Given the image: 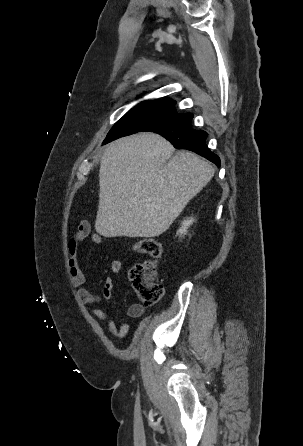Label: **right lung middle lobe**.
Returning <instances> with one entry per match:
<instances>
[{
	"label": "right lung middle lobe",
	"mask_w": 303,
	"mask_h": 446,
	"mask_svg": "<svg viewBox=\"0 0 303 446\" xmlns=\"http://www.w3.org/2000/svg\"><path fill=\"white\" fill-rule=\"evenodd\" d=\"M175 101L160 110L133 108L128 111L109 131L103 144L133 133L141 132L157 120L176 113Z\"/></svg>",
	"instance_id": "1"
}]
</instances>
